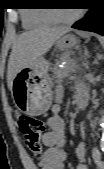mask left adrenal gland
Instances as JSON below:
<instances>
[{
    "instance_id": "left-adrenal-gland-1",
    "label": "left adrenal gland",
    "mask_w": 104,
    "mask_h": 169,
    "mask_svg": "<svg viewBox=\"0 0 104 169\" xmlns=\"http://www.w3.org/2000/svg\"><path fill=\"white\" fill-rule=\"evenodd\" d=\"M85 54H86V56H88V52H87V50H85Z\"/></svg>"
}]
</instances>
